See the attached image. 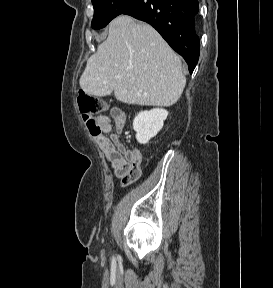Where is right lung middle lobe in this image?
<instances>
[{"label": "right lung middle lobe", "instance_id": "dd1d6c3e", "mask_svg": "<svg viewBox=\"0 0 273 288\" xmlns=\"http://www.w3.org/2000/svg\"><path fill=\"white\" fill-rule=\"evenodd\" d=\"M136 0H92L94 17L92 28L105 27L113 18L131 7Z\"/></svg>", "mask_w": 273, "mask_h": 288}]
</instances>
